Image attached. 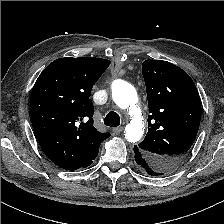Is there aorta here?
Wrapping results in <instances>:
<instances>
[{"label": "aorta", "instance_id": "aorta-1", "mask_svg": "<svg viewBox=\"0 0 224 224\" xmlns=\"http://www.w3.org/2000/svg\"><path fill=\"white\" fill-rule=\"evenodd\" d=\"M112 98L119 108H130L135 111L138 97L131 84L122 80H115L112 84ZM134 115V119L125 127V138L131 143L139 141L144 134L142 119L136 113Z\"/></svg>", "mask_w": 224, "mask_h": 224}]
</instances>
